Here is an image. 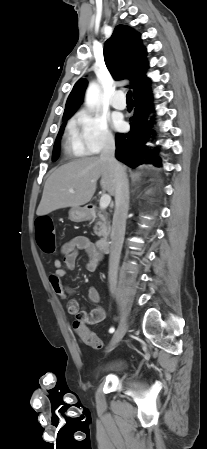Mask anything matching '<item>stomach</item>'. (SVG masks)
<instances>
[{
  "label": "stomach",
  "mask_w": 207,
  "mask_h": 449,
  "mask_svg": "<svg viewBox=\"0 0 207 449\" xmlns=\"http://www.w3.org/2000/svg\"><path fill=\"white\" fill-rule=\"evenodd\" d=\"M89 217L90 213L86 207H72L69 210V219L73 222H83Z\"/></svg>",
  "instance_id": "stomach-1"
}]
</instances>
